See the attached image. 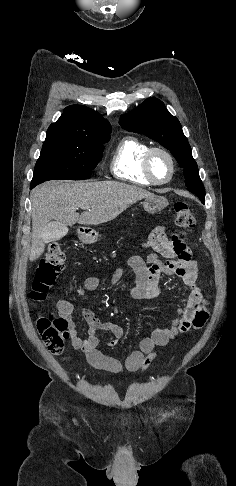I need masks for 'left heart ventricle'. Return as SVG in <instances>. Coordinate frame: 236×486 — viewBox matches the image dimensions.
I'll return each mask as SVG.
<instances>
[{"mask_svg":"<svg viewBox=\"0 0 236 486\" xmlns=\"http://www.w3.org/2000/svg\"><path fill=\"white\" fill-rule=\"evenodd\" d=\"M151 171L157 180H165L168 178L170 174V164L167 158L160 153L154 154L151 159Z\"/></svg>","mask_w":236,"mask_h":486,"instance_id":"obj_1","label":"left heart ventricle"}]
</instances>
